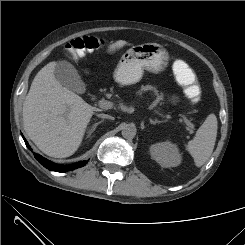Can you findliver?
I'll return each instance as SVG.
<instances>
[{
  "instance_id": "1",
  "label": "liver",
  "mask_w": 245,
  "mask_h": 245,
  "mask_svg": "<svg viewBox=\"0 0 245 245\" xmlns=\"http://www.w3.org/2000/svg\"><path fill=\"white\" fill-rule=\"evenodd\" d=\"M129 45L118 40L108 53ZM56 62H49L35 76L23 102L24 129L46 155L65 158L79 148L96 108L62 86L55 78Z\"/></svg>"
}]
</instances>
